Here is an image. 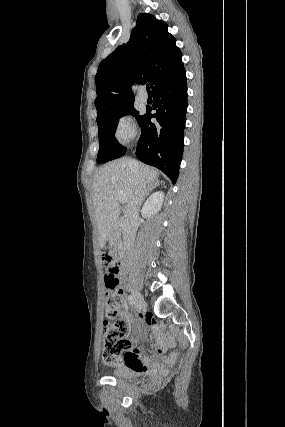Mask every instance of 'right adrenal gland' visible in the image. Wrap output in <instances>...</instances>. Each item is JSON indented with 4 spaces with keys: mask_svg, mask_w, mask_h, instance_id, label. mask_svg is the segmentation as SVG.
<instances>
[{
    "mask_svg": "<svg viewBox=\"0 0 285 427\" xmlns=\"http://www.w3.org/2000/svg\"><path fill=\"white\" fill-rule=\"evenodd\" d=\"M157 186H159V184L155 183V184H153L152 186H150V187L146 190V192H145V196H144V200H145V198L149 195V193H150L154 188H156Z\"/></svg>",
    "mask_w": 285,
    "mask_h": 427,
    "instance_id": "obj_1",
    "label": "right adrenal gland"
}]
</instances>
